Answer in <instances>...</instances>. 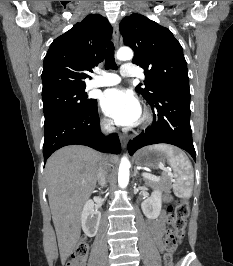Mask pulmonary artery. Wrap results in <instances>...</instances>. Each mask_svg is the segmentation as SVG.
<instances>
[{
    "label": "pulmonary artery",
    "mask_w": 233,
    "mask_h": 266,
    "mask_svg": "<svg viewBox=\"0 0 233 266\" xmlns=\"http://www.w3.org/2000/svg\"><path fill=\"white\" fill-rule=\"evenodd\" d=\"M123 77H135L138 75L135 67L132 64H125L121 68ZM121 78L118 74L110 72H102L95 76L88 84L89 88L113 86L120 82Z\"/></svg>",
    "instance_id": "pulmonary-artery-1"
}]
</instances>
